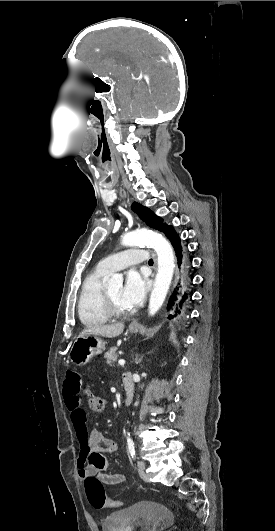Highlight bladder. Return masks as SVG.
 Listing matches in <instances>:
<instances>
[{
	"instance_id": "31cf9c89",
	"label": "bladder",
	"mask_w": 275,
	"mask_h": 531,
	"mask_svg": "<svg viewBox=\"0 0 275 531\" xmlns=\"http://www.w3.org/2000/svg\"><path fill=\"white\" fill-rule=\"evenodd\" d=\"M173 514L164 503L138 501L126 509L106 514L103 531H167Z\"/></svg>"
}]
</instances>
